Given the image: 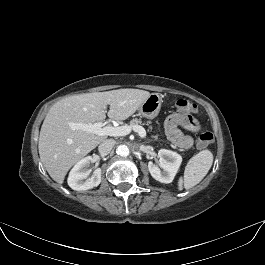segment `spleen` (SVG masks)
Listing matches in <instances>:
<instances>
[{
  "mask_svg": "<svg viewBox=\"0 0 265 265\" xmlns=\"http://www.w3.org/2000/svg\"><path fill=\"white\" fill-rule=\"evenodd\" d=\"M213 164V154L203 150L193 156L187 163L184 177L178 180V189H190L197 185L208 173Z\"/></svg>",
  "mask_w": 265,
  "mask_h": 265,
  "instance_id": "1",
  "label": "spleen"
}]
</instances>
